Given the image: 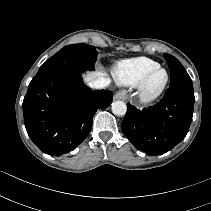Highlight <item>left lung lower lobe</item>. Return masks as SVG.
Instances as JSON below:
<instances>
[{"label": "left lung lower lobe", "instance_id": "1", "mask_svg": "<svg viewBox=\"0 0 211 211\" xmlns=\"http://www.w3.org/2000/svg\"><path fill=\"white\" fill-rule=\"evenodd\" d=\"M194 101L192 87L176 86L168 88L153 107L139 110L128 103L121 129L137 149L149 155L163 154L185 138Z\"/></svg>", "mask_w": 211, "mask_h": 211}]
</instances>
